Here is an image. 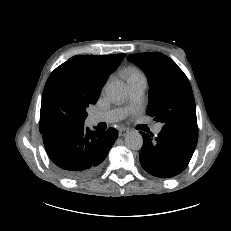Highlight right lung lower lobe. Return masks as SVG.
I'll list each match as a JSON object with an SVG mask.
<instances>
[{
  "mask_svg": "<svg viewBox=\"0 0 231 231\" xmlns=\"http://www.w3.org/2000/svg\"><path fill=\"white\" fill-rule=\"evenodd\" d=\"M95 129L90 130L83 123L74 128L42 133L47 154L64 176L86 178L101 168L118 131Z\"/></svg>",
  "mask_w": 231,
  "mask_h": 231,
  "instance_id": "obj_1",
  "label": "right lung lower lobe"
}]
</instances>
